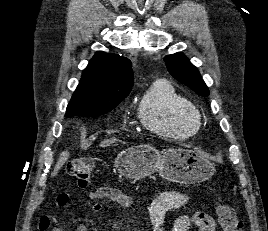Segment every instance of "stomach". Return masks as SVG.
Returning a JSON list of instances; mask_svg holds the SVG:
<instances>
[{"label": "stomach", "instance_id": "0dacf381", "mask_svg": "<svg viewBox=\"0 0 268 231\" xmlns=\"http://www.w3.org/2000/svg\"><path fill=\"white\" fill-rule=\"evenodd\" d=\"M115 167L128 179L139 180L158 172L162 178L180 184L206 181L215 172V165L193 150L169 148L159 152L148 144L121 151Z\"/></svg>", "mask_w": 268, "mask_h": 231}]
</instances>
